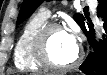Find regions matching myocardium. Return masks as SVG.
Masks as SVG:
<instances>
[{
    "label": "myocardium",
    "mask_w": 107,
    "mask_h": 75,
    "mask_svg": "<svg viewBox=\"0 0 107 75\" xmlns=\"http://www.w3.org/2000/svg\"><path fill=\"white\" fill-rule=\"evenodd\" d=\"M54 30H63V27L57 23H46L35 33L31 42L33 56L44 68L50 70L63 71L76 67L80 62L82 55L79 48H77L74 59L67 64H57L50 57L48 50V38L50 33Z\"/></svg>",
    "instance_id": "myocardium-1"
}]
</instances>
